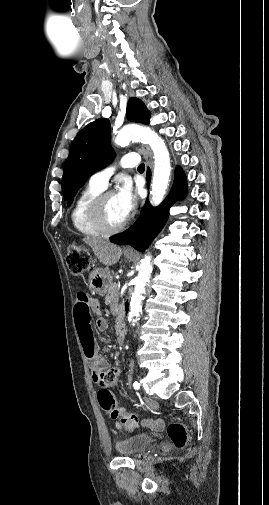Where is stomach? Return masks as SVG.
<instances>
[{"mask_svg":"<svg viewBox=\"0 0 269 505\" xmlns=\"http://www.w3.org/2000/svg\"><path fill=\"white\" fill-rule=\"evenodd\" d=\"M127 259H133V255L125 254ZM113 278L107 268H95L89 274V286L97 294L103 296L112 285Z\"/></svg>","mask_w":269,"mask_h":505,"instance_id":"obj_1","label":"stomach"}]
</instances>
